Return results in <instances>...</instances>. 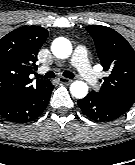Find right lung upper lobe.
I'll return each instance as SVG.
<instances>
[{"label":"right lung upper lobe","mask_w":135,"mask_h":165,"mask_svg":"<svg viewBox=\"0 0 135 165\" xmlns=\"http://www.w3.org/2000/svg\"><path fill=\"white\" fill-rule=\"evenodd\" d=\"M48 31L40 26H23L0 39V96L19 90L44 89L49 81L32 83L37 54Z\"/></svg>","instance_id":"1"}]
</instances>
